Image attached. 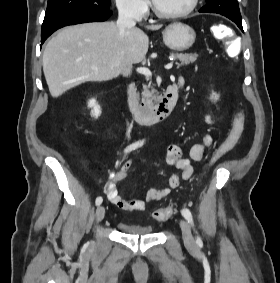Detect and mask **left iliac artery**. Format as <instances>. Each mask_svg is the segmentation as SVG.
I'll return each mask as SVG.
<instances>
[{
    "mask_svg": "<svg viewBox=\"0 0 280 283\" xmlns=\"http://www.w3.org/2000/svg\"><path fill=\"white\" fill-rule=\"evenodd\" d=\"M182 215L191 224V226L194 227L193 216H192L190 210L187 209V208L182 209ZM196 241H197V243H201V239H200L199 236H197Z\"/></svg>",
    "mask_w": 280,
    "mask_h": 283,
    "instance_id": "1",
    "label": "left iliac artery"
}]
</instances>
